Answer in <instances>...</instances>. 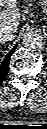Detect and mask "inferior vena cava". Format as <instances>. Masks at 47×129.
Masks as SVG:
<instances>
[{
  "mask_svg": "<svg viewBox=\"0 0 47 129\" xmlns=\"http://www.w3.org/2000/svg\"><path fill=\"white\" fill-rule=\"evenodd\" d=\"M15 30L9 27H3L0 29V41H10L15 38Z\"/></svg>",
  "mask_w": 47,
  "mask_h": 129,
  "instance_id": "obj_1",
  "label": "inferior vena cava"
}]
</instances>
